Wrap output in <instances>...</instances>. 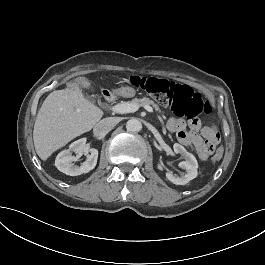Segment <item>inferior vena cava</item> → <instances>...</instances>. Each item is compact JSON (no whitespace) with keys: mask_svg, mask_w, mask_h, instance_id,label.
Instances as JSON below:
<instances>
[{"mask_svg":"<svg viewBox=\"0 0 265 265\" xmlns=\"http://www.w3.org/2000/svg\"><path fill=\"white\" fill-rule=\"evenodd\" d=\"M115 125L116 121L114 118H104L95 125L93 133L96 137H104Z\"/></svg>","mask_w":265,"mask_h":265,"instance_id":"602c4592","label":"inferior vena cava"}]
</instances>
